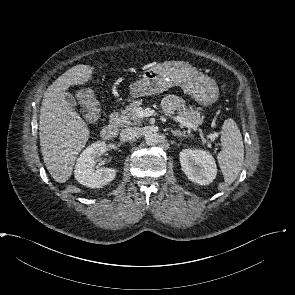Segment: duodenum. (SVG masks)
I'll use <instances>...</instances> for the list:
<instances>
[{"mask_svg":"<svg viewBox=\"0 0 295 295\" xmlns=\"http://www.w3.org/2000/svg\"><path fill=\"white\" fill-rule=\"evenodd\" d=\"M118 133V124L114 117L111 123L107 124L101 131V136L105 140H113Z\"/></svg>","mask_w":295,"mask_h":295,"instance_id":"1","label":"duodenum"}]
</instances>
